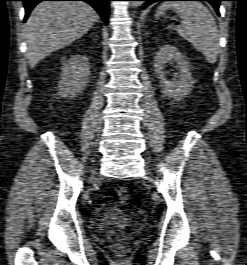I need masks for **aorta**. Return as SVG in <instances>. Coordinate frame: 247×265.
<instances>
[{
    "mask_svg": "<svg viewBox=\"0 0 247 265\" xmlns=\"http://www.w3.org/2000/svg\"><path fill=\"white\" fill-rule=\"evenodd\" d=\"M139 5H141L140 1H132L131 4H130L131 7H137Z\"/></svg>",
    "mask_w": 247,
    "mask_h": 265,
    "instance_id": "aorta-1",
    "label": "aorta"
}]
</instances>
